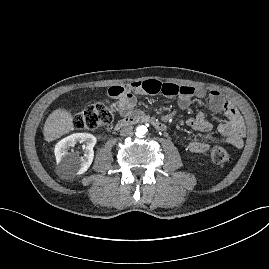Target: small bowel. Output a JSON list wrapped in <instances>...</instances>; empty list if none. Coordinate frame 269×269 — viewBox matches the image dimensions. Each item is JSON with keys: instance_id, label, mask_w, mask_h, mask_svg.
Segmentation results:
<instances>
[{"instance_id": "obj_1", "label": "small bowel", "mask_w": 269, "mask_h": 269, "mask_svg": "<svg viewBox=\"0 0 269 269\" xmlns=\"http://www.w3.org/2000/svg\"><path fill=\"white\" fill-rule=\"evenodd\" d=\"M162 93L166 97L178 98L179 107L185 110L189 107L193 98L208 99L209 108L213 113H221L226 120L219 125V132L230 145L240 148L245 135L244 121L238 110L222 95L215 90L207 92L203 87L176 85L161 83L158 80L135 81L126 86H113L108 94L116 98V109L123 116L129 117L135 114L136 94ZM187 124L195 131L207 133L212 129V124L203 112L187 120ZM187 148L193 153H203L209 149V145L200 140H192Z\"/></svg>"}]
</instances>
